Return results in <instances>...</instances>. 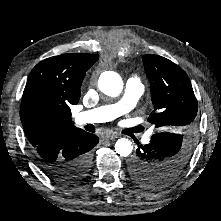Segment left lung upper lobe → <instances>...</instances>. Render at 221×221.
<instances>
[{
  "mask_svg": "<svg viewBox=\"0 0 221 221\" xmlns=\"http://www.w3.org/2000/svg\"><path fill=\"white\" fill-rule=\"evenodd\" d=\"M150 81L154 113L148 121L156 128L173 134L163 142L157 168L144 172L138 182L147 187H161L175 180L189 162L198 127V102L187 74L172 61L153 54L143 56ZM156 167V165H155Z\"/></svg>",
  "mask_w": 221,
  "mask_h": 221,
  "instance_id": "obj_1",
  "label": "left lung upper lobe"
}]
</instances>
